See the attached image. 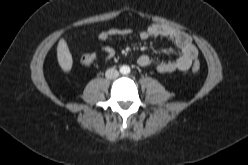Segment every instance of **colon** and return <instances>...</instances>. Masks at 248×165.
I'll return each mask as SVG.
<instances>
[{"label": "colon", "mask_w": 248, "mask_h": 165, "mask_svg": "<svg viewBox=\"0 0 248 165\" xmlns=\"http://www.w3.org/2000/svg\"><path fill=\"white\" fill-rule=\"evenodd\" d=\"M94 61V55L93 54H84L81 57V63L83 65H90L92 62ZM200 63L199 62H195L192 66V72L193 73H197L200 70Z\"/></svg>", "instance_id": "obj_1"}]
</instances>
